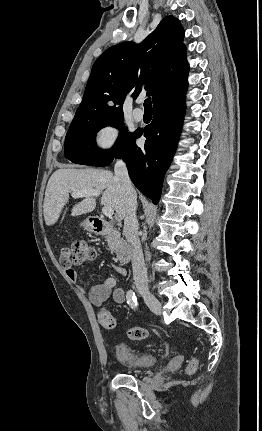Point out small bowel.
<instances>
[{"mask_svg":"<svg viewBox=\"0 0 262 431\" xmlns=\"http://www.w3.org/2000/svg\"><path fill=\"white\" fill-rule=\"evenodd\" d=\"M61 265L68 279L73 283H77L79 281V274L77 270L72 267V264L69 261L62 260ZM115 270L121 276L127 275V270L123 266L115 265ZM116 282L114 277H109L92 286L87 294L90 303L101 310H104V304L110 299L115 304H124L127 301V293L122 288H115ZM178 360L181 362L183 356H179Z\"/></svg>","mask_w":262,"mask_h":431,"instance_id":"small-bowel-1","label":"small bowel"}]
</instances>
